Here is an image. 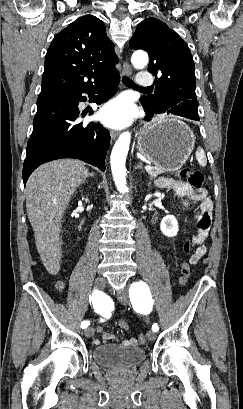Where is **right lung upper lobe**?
Wrapping results in <instances>:
<instances>
[{"mask_svg":"<svg viewBox=\"0 0 243 409\" xmlns=\"http://www.w3.org/2000/svg\"><path fill=\"white\" fill-rule=\"evenodd\" d=\"M117 63L103 21L93 15L82 16L52 40L45 57L39 97L98 85L118 74Z\"/></svg>","mask_w":243,"mask_h":409,"instance_id":"cb5924a9","label":"right lung upper lobe"}]
</instances>
